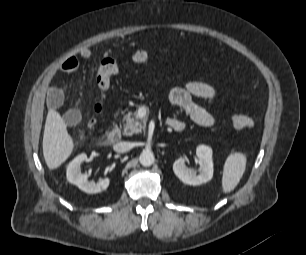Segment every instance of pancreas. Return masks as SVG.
<instances>
[{"instance_id": "obj_1", "label": "pancreas", "mask_w": 306, "mask_h": 255, "mask_svg": "<svg viewBox=\"0 0 306 255\" xmlns=\"http://www.w3.org/2000/svg\"><path fill=\"white\" fill-rule=\"evenodd\" d=\"M146 128V118L140 119L136 112H129L125 116V123L123 125V134L131 136L133 134L141 133Z\"/></svg>"}]
</instances>
